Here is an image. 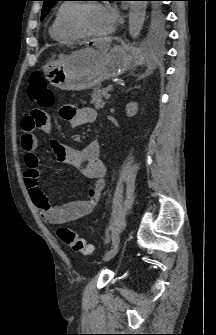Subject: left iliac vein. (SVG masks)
Segmentation results:
<instances>
[{"label": "left iliac vein", "mask_w": 216, "mask_h": 335, "mask_svg": "<svg viewBox=\"0 0 216 335\" xmlns=\"http://www.w3.org/2000/svg\"><path fill=\"white\" fill-rule=\"evenodd\" d=\"M120 245H116L113 248H111L103 257V261L107 262L111 260L119 251Z\"/></svg>", "instance_id": "obj_1"}]
</instances>
